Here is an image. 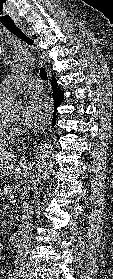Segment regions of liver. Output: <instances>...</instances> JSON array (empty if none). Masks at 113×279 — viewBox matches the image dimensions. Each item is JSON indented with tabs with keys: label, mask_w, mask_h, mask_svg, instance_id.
I'll use <instances>...</instances> for the list:
<instances>
[{
	"label": "liver",
	"mask_w": 113,
	"mask_h": 279,
	"mask_svg": "<svg viewBox=\"0 0 113 279\" xmlns=\"http://www.w3.org/2000/svg\"><path fill=\"white\" fill-rule=\"evenodd\" d=\"M17 155L13 152L1 150L0 152V174L1 175H15L16 178H26L28 172L25 162L16 165Z\"/></svg>",
	"instance_id": "liver-1"
}]
</instances>
